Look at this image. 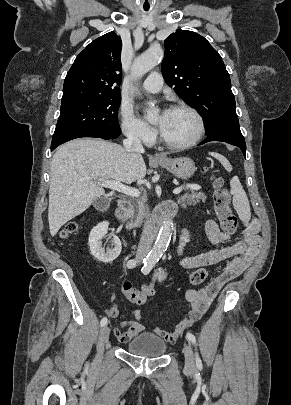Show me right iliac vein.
<instances>
[{"label":"right iliac vein","instance_id":"obj_1","mask_svg":"<svg viewBox=\"0 0 291 405\" xmlns=\"http://www.w3.org/2000/svg\"><path fill=\"white\" fill-rule=\"evenodd\" d=\"M109 328L107 326H103L100 335H99V340H98V351L99 354L102 353L103 347L105 343L108 341L109 338Z\"/></svg>","mask_w":291,"mask_h":405}]
</instances>
